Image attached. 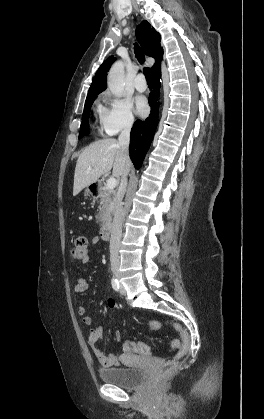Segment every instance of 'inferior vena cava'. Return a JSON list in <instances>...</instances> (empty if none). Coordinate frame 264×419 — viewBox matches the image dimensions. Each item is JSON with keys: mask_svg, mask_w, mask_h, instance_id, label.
I'll return each instance as SVG.
<instances>
[{"mask_svg": "<svg viewBox=\"0 0 264 419\" xmlns=\"http://www.w3.org/2000/svg\"><path fill=\"white\" fill-rule=\"evenodd\" d=\"M133 125V120H129L124 125V128L119 135L118 144L121 147L124 158L129 159L128 147L130 141V131ZM127 175L128 171H125L121 177V184L117 194V199L114 206V219L111 228V238H110V260H111V269L112 271H118L119 269V247L122 237V222L124 216V209L122 204V199L126 192L127 187Z\"/></svg>", "mask_w": 264, "mask_h": 419, "instance_id": "inferior-vena-cava-1", "label": "inferior vena cava"}]
</instances>
